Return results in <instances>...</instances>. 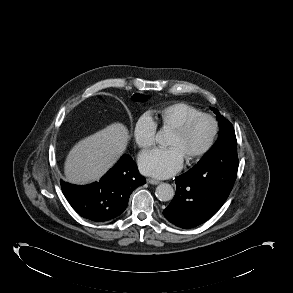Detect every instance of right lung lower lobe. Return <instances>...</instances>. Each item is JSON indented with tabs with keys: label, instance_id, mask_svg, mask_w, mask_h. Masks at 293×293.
Masks as SVG:
<instances>
[{
	"label": "right lung lower lobe",
	"instance_id": "right-lung-lower-lobe-1",
	"mask_svg": "<svg viewBox=\"0 0 293 293\" xmlns=\"http://www.w3.org/2000/svg\"><path fill=\"white\" fill-rule=\"evenodd\" d=\"M63 194L82 217L96 222L111 220L126 209L132 191L146 183L129 155L121 159L99 182L85 186L60 181Z\"/></svg>",
	"mask_w": 293,
	"mask_h": 293
}]
</instances>
